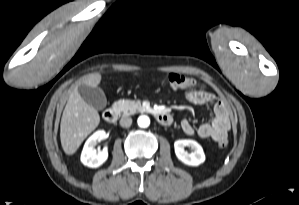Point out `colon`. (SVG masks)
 I'll list each match as a JSON object with an SVG mask.
<instances>
[{
  "label": "colon",
  "mask_w": 299,
  "mask_h": 205,
  "mask_svg": "<svg viewBox=\"0 0 299 205\" xmlns=\"http://www.w3.org/2000/svg\"><path fill=\"white\" fill-rule=\"evenodd\" d=\"M165 86L178 90V89H192L196 85V80L192 77H188L178 73H171L160 80ZM228 145V140L221 139L218 141L220 148H225Z\"/></svg>",
  "instance_id": "colon-1"
}]
</instances>
